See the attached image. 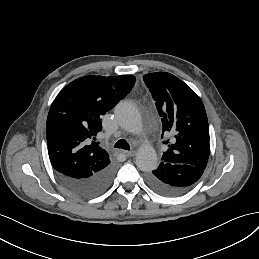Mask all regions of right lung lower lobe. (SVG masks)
I'll return each instance as SVG.
<instances>
[{
    "label": "right lung lower lobe",
    "instance_id": "obj_1",
    "mask_svg": "<svg viewBox=\"0 0 259 259\" xmlns=\"http://www.w3.org/2000/svg\"><path fill=\"white\" fill-rule=\"evenodd\" d=\"M114 174L115 168L112 164L84 179L73 178L56 171L58 179L66 189L79 197L86 198L95 197L105 192L110 187Z\"/></svg>",
    "mask_w": 259,
    "mask_h": 259
}]
</instances>
